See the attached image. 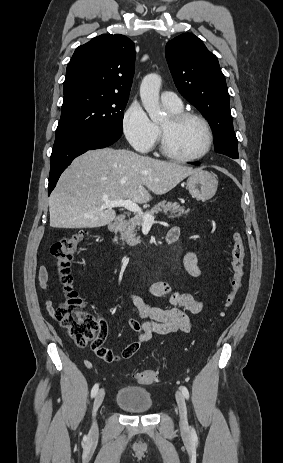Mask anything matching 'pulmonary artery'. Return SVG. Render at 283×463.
<instances>
[{
    "label": "pulmonary artery",
    "mask_w": 283,
    "mask_h": 463,
    "mask_svg": "<svg viewBox=\"0 0 283 463\" xmlns=\"http://www.w3.org/2000/svg\"><path fill=\"white\" fill-rule=\"evenodd\" d=\"M161 100L164 103V105L171 108H179L182 106L180 98L172 91L162 92Z\"/></svg>",
    "instance_id": "e3ab8cb5"
}]
</instances>
